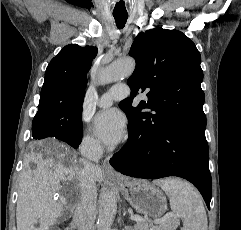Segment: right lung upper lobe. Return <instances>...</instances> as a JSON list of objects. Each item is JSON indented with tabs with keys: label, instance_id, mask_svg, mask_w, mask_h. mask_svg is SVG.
I'll return each mask as SVG.
<instances>
[{
	"label": "right lung upper lobe",
	"instance_id": "1",
	"mask_svg": "<svg viewBox=\"0 0 241 230\" xmlns=\"http://www.w3.org/2000/svg\"><path fill=\"white\" fill-rule=\"evenodd\" d=\"M96 55V47L65 46L47 66L37 113L60 108H82L86 73Z\"/></svg>",
	"mask_w": 241,
	"mask_h": 230
}]
</instances>
